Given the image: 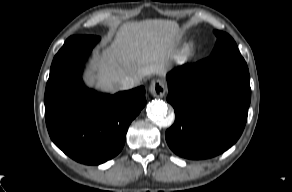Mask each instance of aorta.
<instances>
[{
    "mask_svg": "<svg viewBox=\"0 0 292 192\" xmlns=\"http://www.w3.org/2000/svg\"><path fill=\"white\" fill-rule=\"evenodd\" d=\"M148 117L159 127H168L173 122V117L168 115V107L162 100H153L146 108Z\"/></svg>",
    "mask_w": 292,
    "mask_h": 192,
    "instance_id": "1",
    "label": "aorta"
}]
</instances>
